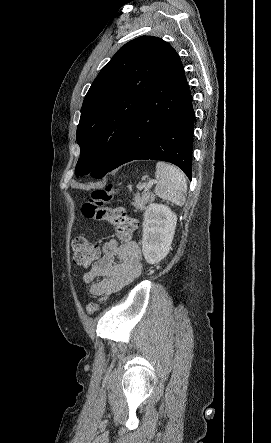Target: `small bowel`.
<instances>
[{"mask_svg":"<svg viewBox=\"0 0 271 443\" xmlns=\"http://www.w3.org/2000/svg\"><path fill=\"white\" fill-rule=\"evenodd\" d=\"M141 257L137 243L111 239L103 245L102 256L83 274L82 280L98 301L107 300L140 275Z\"/></svg>","mask_w":271,"mask_h":443,"instance_id":"c3829d8e","label":"small bowel"}]
</instances>
